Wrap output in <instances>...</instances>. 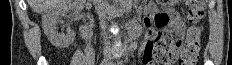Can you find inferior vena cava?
Returning a JSON list of instances; mask_svg holds the SVG:
<instances>
[{"label": "inferior vena cava", "mask_w": 232, "mask_h": 65, "mask_svg": "<svg viewBox=\"0 0 232 65\" xmlns=\"http://www.w3.org/2000/svg\"><path fill=\"white\" fill-rule=\"evenodd\" d=\"M95 9L96 12L101 20L102 28L104 29V17L108 11V3L107 0H95ZM106 47L108 46V43L105 42Z\"/></svg>", "instance_id": "obj_1"}]
</instances>
